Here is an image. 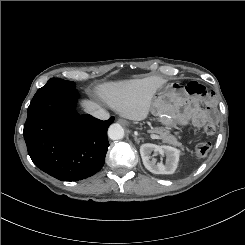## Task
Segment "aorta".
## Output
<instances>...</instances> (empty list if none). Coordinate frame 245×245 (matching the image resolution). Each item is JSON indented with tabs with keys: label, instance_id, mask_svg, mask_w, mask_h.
<instances>
[{
	"label": "aorta",
	"instance_id": "1",
	"mask_svg": "<svg viewBox=\"0 0 245 245\" xmlns=\"http://www.w3.org/2000/svg\"><path fill=\"white\" fill-rule=\"evenodd\" d=\"M108 136L112 140L122 139L124 137L123 127L118 123L110 125V127L108 129Z\"/></svg>",
	"mask_w": 245,
	"mask_h": 245
}]
</instances>
